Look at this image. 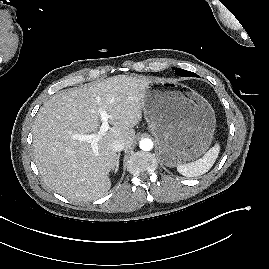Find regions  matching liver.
I'll return each instance as SVG.
<instances>
[{"instance_id":"liver-1","label":"liver","mask_w":269,"mask_h":269,"mask_svg":"<svg viewBox=\"0 0 269 269\" xmlns=\"http://www.w3.org/2000/svg\"><path fill=\"white\" fill-rule=\"evenodd\" d=\"M151 79L117 75L89 87L53 95L39 109L32 127L34 159L44 183L72 201H92L111 187L117 154L112 143L122 140L130 147L133 127L142 119V100ZM105 110L110 131L98 141V156L91 144L76 134H97L100 110Z\"/></svg>"}]
</instances>
